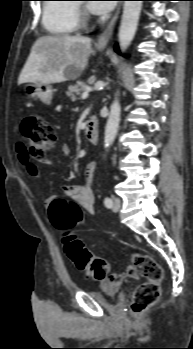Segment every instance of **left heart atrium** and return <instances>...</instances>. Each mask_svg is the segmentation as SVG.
<instances>
[{"label":"left heart atrium","mask_w":193,"mask_h":349,"mask_svg":"<svg viewBox=\"0 0 193 349\" xmlns=\"http://www.w3.org/2000/svg\"><path fill=\"white\" fill-rule=\"evenodd\" d=\"M89 9L96 14H105L111 11L114 7V2L108 1H92L88 5Z\"/></svg>","instance_id":"obj_1"}]
</instances>
